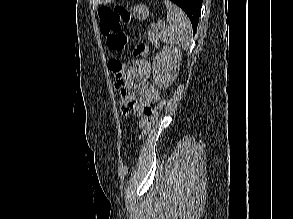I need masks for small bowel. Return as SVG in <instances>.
Instances as JSON below:
<instances>
[{
    "mask_svg": "<svg viewBox=\"0 0 293 219\" xmlns=\"http://www.w3.org/2000/svg\"><path fill=\"white\" fill-rule=\"evenodd\" d=\"M150 74V62L146 59L139 60L123 72L119 85L115 83L120 95L122 113H134L141 128L149 124L152 105L160 99L159 91L149 80ZM134 92H137L139 97Z\"/></svg>",
    "mask_w": 293,
    "mask_h": 219,
    "instance_id": "small-bowel-1",
    "label": "small bowel"
}]
</instances>
